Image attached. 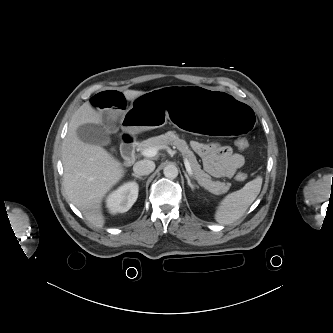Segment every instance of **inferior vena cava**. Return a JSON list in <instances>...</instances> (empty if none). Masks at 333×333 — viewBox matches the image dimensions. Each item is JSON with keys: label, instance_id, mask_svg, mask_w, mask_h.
<instances>
[{"label": "inferior vena cava", "instance_id": "1", "mask_svg": "<svg viewBox=\"0 0 333 333\" xmlns=\"http://www.w3.org/2000/svg\"><path fill=\"white\" fill-rule=\"evenodd\" d=\"M155 169V163L151 160H141L134 164L133 171L139 176L149 175Z\"/></svg>", "mask_w": 333, "mask_h": 333}]
</instances>
